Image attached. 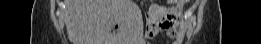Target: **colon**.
<instances>
[{
    "label": "colon",
    "instance_id": "5ec220e1",
    "mask_svg": "<svg viewBox=\"0 0 261 44\" xmlns=\"http://www.w3.org/2000/svg\"><path fill=\"white\" fill-rule=\"evenodd\" d=\"M169 2L175 6H184L187 1L186 0H173V1H169Z\"/></svg>",
    "mask_w": 261,
    "mask_h": 44
}]
</instances>
